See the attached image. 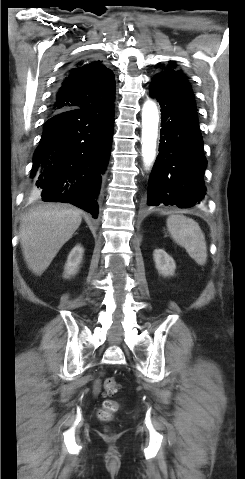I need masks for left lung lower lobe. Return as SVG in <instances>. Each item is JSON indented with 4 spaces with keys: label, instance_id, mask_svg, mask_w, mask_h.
I'll list each match as a JSON object with an SVG mask.
<instances>
[{
    "label": "left lung lower lobe",
    "instance_id": "left-lung-lower-lobe-1",
    "mask_svg": "<svg viewBox=\"0 0 245 479\" xmlns=\"http://www.w3.org/2000/svg\"><path fill=\"white\" fill-rule=\"evenodd\" d=\"M149 92L160 104L162 128L147 205L192 208L205 195L206 158L190 83L182 76L153 78Z\"/></svg>",
    "mask_w": 245,
    "mask_h": 479
}]
</instances>
